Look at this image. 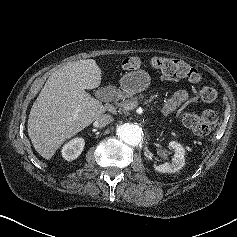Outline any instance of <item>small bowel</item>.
I'll return each mask as SVG.
<instances>
[{"instance_id": "small-bowel-1", "label": "small bowel", "mask_w": 237, "mask_h": 237, "mask_svg": "<svg viewBox=\"0 0 237 237\" xmlns=\"http://www.w3.org/2000/svg\"><path fill=\"white\" fill-rule=\"evenodd\" d=\"M193 97L191 93L185 89L176 91L165 103L163 107V114L169 115L177 107L184 105L185 103L191 102Z\"/></svg>"}]
</instances>
